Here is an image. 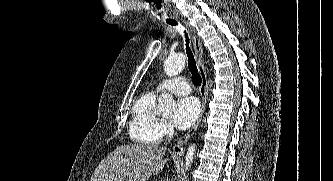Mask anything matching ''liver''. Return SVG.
Instances as JSON below:
<instances>
[{"label":"liver","instance_id":"obj_1","mask_svg":"<svg viewBox=\"0 0 333 181\" xmlns=\"http://www.w3.org/2000/svg\"><path fill=\"white\" fill-rule=\"evenodd\" d=\"M165 153L163 146H120L98 164L90 181H147L163 171Z\"/></svg>","mask_w":333,"mask_h":181}]
</instances>
